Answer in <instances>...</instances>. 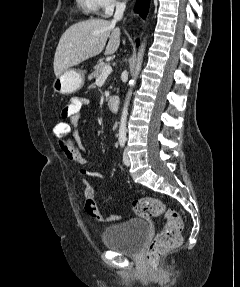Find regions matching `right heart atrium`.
<instances>
[{
	"mask_svg": "<svg viewBox=\"0 0 240 287\" xmlns=\"http://www.w3.org/2000/svg\"><path fill=\"white\" fill-rule=\"evenodd\" d=\"M100 10L104 15L110 14L116 8H119L122 5L121 0H98Z\"/></svg>",
	"mask_w": 240,
	"mask_h": 287,
	"instance_id": "right-heart-atrium-1",
	"label": "right heart atrium"
}]
</instances>
